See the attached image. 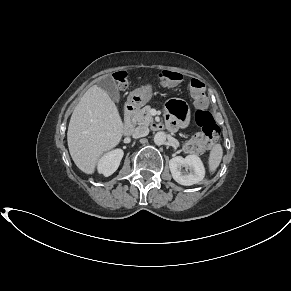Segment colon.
I'll return each mask as SVG.
<instances>
[{"label": "colon", "mask_w": 291, "mask_h": 291, "mask_svg": "<svg viewBox=\"0 0 291 291\" xmlns=\"http://www.w3.org/2000/svg\"><path fill=\"white\" fill-rule=\"evenodd\" d=\"M183 79V75L179 72L163 70L159 73V80L162 86L170 87L178 84ZM114 82L117 86L125 88L129 84V79L126 73L118 72L113 76ZM192 95L197 104V111L195 120L200 127V131L194 133L185 143V150L191 154H197L204 150L213 148L219 137V127L215 122L212 114L206 110L205 106L207 98L204 93L203 84L199 81H192L191 83ZM170 106L178 109L179 104L176 100L170 102ZM183 114L179 115V117Z\"/></svg>", "instance_id": "5ec220e1"}]
</instances>
